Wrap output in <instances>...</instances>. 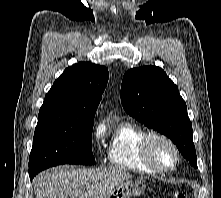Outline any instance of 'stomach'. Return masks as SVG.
I'll return each mask as SVG.
<instances>
[{"label": "stomach", "instance_id": "0dacf381", "mask_svg": "<svg viewBox=\"0 0 221 198\" xmlns=\"http://www.w3.org/2000/svg\"><path fill=\"white\" fill-rule=\"evenodd\" d=\"M145 185L140 181L126 180L104 198H133L144 193Z\"/></svg>", "mask_w": 221, "mask_h": 198}]
</instances>
